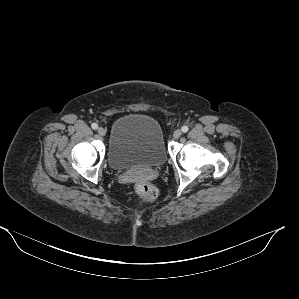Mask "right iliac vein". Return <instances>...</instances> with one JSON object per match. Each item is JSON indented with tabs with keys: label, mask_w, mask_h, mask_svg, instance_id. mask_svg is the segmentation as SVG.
<instances>
[{
	"label": "right iliac vein",
	"mask_w": 299,
	"mask_h": 299,
	"mask_svg": "<svg viewBox=\"0 0 299 299\" xmlns=\"http://www.w3.org/2000/svg\"><path fill=\"white\" fill-rule=\"evenodd\" d=\"M97 132L101 136H105V134H106V130L103 127H99Z\"/></svg>",
	"instance_id": "right-iliac-vein-1"
}]
</instances>
